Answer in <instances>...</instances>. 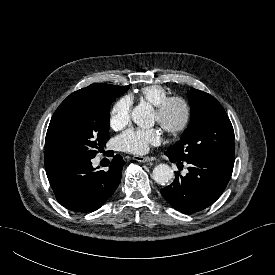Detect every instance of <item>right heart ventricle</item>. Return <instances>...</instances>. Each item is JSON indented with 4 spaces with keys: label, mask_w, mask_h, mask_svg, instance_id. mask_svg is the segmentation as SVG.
Segmentation results:
<instances>
[{
    "label": "right heart ventricle",
    "mask_w": 275,
    "mask_h": 275,
    "mask_svg": "<svg viewBox=\"0 0 275 275\" xmlns=\"http://www.w3.org/2000/svg\"><path fill=\"white\" fill-rule=\"evenodd\" d=\"M139 95L141 99L155 107L169 96L168 91L160 85L145 86L140 90Z\"/></svg>",
    "instance_id": "1"
}]
</instances>
